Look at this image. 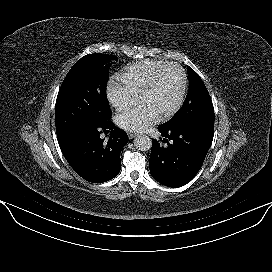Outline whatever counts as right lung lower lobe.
<instances>
[{"label": "right lung lower lobe", "instance_id": "1", "mask_svg": "<svg viewBox=\"0 0 272 272\" xmlns=\"http://www.w3.org/2000/svg\"><path fill=\"white\" fill-rule=\"evenodd\" d=\"M107 129L111 130V136L108 141H104L100 134ZM127 142L126 132L107 121L99 127H87L73 134L60 147L79 176L92 183H102L120 172V153Z\"/></svg>", "mask_w": 272, "mask_h": 272}]
</instances>
